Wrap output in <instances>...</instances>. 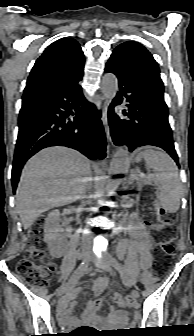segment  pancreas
Segmentation results:
<instances>
[{
    "instance_id": "obj_1",
    "label": "pancreas",
    "mask_w": 194,
    "mask_h": 336,
    "mask_svg": "<svg viewBox=\"0 0 194 336\" xmlns=\"http://www.w3.org/2000/svg\"><path fill=\"white\" fill-rule=\"evenodd\" d=\"M137 181H138L137 182L138 185L152 184V182L155 181V177L153 175H151V176H147V177H144V178H138Z\"/></svg>"
}]
</instances>
